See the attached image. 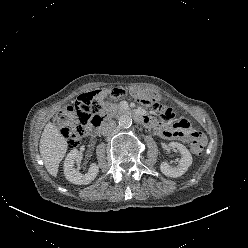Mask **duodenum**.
<instances>
[{
	"mask_svg": "<svg viewBox=\"0 0 248 248\" xmlns=\"http://www.w3.org/2000/svg\"><path fill=\"white\" fill-rule=\"evenodd\" d=\"M119 115H130L132 116L135 120H137L138 122L142 123L143 125H146V126H150V127H154L155 126V121L146 116V115H143L139 112H136V111H132V110H129V109H126V108H122V107H116L110 111H107L105 112L103 115H100L98 117H96L90 127H89V130H88V133L90 136L92 137H95L100 128L102 127V125L109 119H111L112 117H115V116H119Z\"/></svg>",
	"mask_w": 248,
	"mask_h": 248,
	"instance_id": "duodenum-1",
	"label": "duodenum"
}]
</instances>
